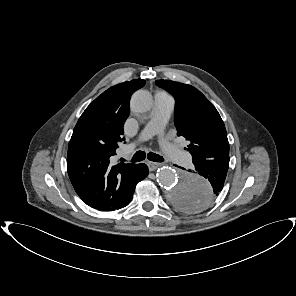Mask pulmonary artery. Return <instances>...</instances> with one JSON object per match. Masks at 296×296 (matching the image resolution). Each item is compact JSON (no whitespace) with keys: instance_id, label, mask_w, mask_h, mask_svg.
<instances>
[{"instance_id":"obj_1","label":"pulmonary artery","mask_w":296,"mask_h":296,"mask_svg":"<svg viewBox=\"0 0 296 296\" xmlns=\"http://www.w3.org/2000/svg\"><path fill=\"white\" fill-rule=\"evenodd\" d=\"M174 106L175 101L171 95L164 91L157 92L155 94V107L152 116L141 131L136 143L146 141L153 136H158L161 148L166 156L172 161L187 165L191 161V155L168 142L163 135L165 125ZM136 143L132 144L131 147H134Z\"/></svg>"}]
</instances>
